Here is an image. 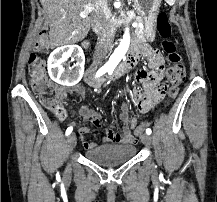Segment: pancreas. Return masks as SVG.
I'll return each instance as SVG.
<instances>
[{"mask_svg":"<svg viewBox=\"0 0 217 202\" xmlns=\"http://www.w3.org/2000/svg\"><path fill=\"white\" fill-rule=\"evenodd\" d=\"M142 18H136L135 22H141ZM135 34H137L138 38L140 40H145L146 38L143 36V30H141V28H136L135 30ZM143 36V37H141Z\"/></svg>","mask_w":217,"mask_h":202,"instance_id":"1","label":"pancreas"}]
</instances>
